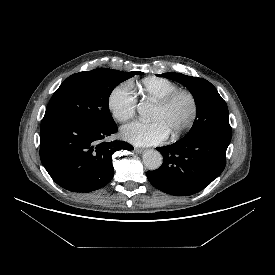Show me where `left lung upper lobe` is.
Instances as JSON below:
<instances>
[{"label": "left lung upper lobe", "instance_id": "obj_1", "mask_svg": "<svg viewBox=\"0 0 275 275\" xmlns=\"http://www.w3.org/2000/svg\"><path fill=\"white\" fill-rule=\"evenodd\" d=\"M160 76L175 80L192 93L196 103V119L190 131L182 138H207L231 140L229 112L225 101L207 80L183 75L164 73Z\"/></svg>", "mask_w": 275, "mask_h": 275}]
</instances>
